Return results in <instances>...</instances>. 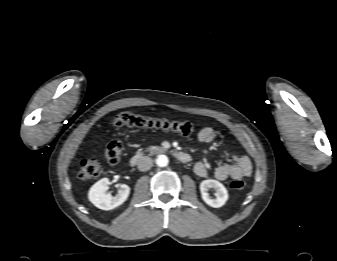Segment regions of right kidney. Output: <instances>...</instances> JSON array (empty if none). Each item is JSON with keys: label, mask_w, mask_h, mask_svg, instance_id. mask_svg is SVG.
Masks as SVG:
<instances>
[{"label": "right kidney", "mask_w": 337, "mask_h": 261, "mask_svg": "<svg viewBox=\"0 0 337 261\" xmlns=\"http://www.w3.org/2000/svg\"><path fill=\"white\" fill-rule=\"evenodd\" d=\"M110 185V181L108 178H102L98 182H96L89 190L88 198L92 204H94L97 208L102 210H111L116 208L117 206L124 203L129 194L130 188L129 186L122 184L118 190V193L112 196L110 193H106Z\"/></svg>", "instance_id": "right-kidney-1"}]
</instances>
